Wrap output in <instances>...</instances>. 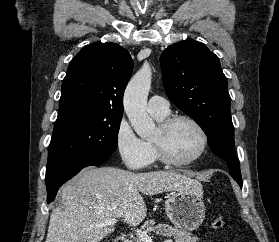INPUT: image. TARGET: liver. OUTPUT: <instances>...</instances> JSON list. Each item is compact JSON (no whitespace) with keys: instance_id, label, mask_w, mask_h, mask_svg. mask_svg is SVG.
<instances>
[{"instance_id":"obj_1","label":"liver","mask_w":279,"mask_h":242,"mask_svg":"<svg viewBox=\"0 0 279 242\" xmlns=\"http://www.w3.org/2000/svg\"><path fill=\"white\" fill-rule=\"evenodd\" d=\"M189 175L174 171L133 173L114 167H87L59 191L45 242H100L115 230L98 226L115 218L138 226L147 208L141 194L200 190Z\"/></svg>"}]
</instances>
